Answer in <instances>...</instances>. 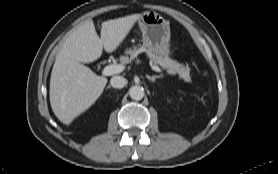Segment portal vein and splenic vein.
<instances>
[{
    "label": "portal vein and splenic vein",
    "mask_w": 278,
    "mask_h": 174,
    "mask_svg": "<svg viewBox=\"0 0 278 174\" xmlns=\"http://www.w3.org/2000/svg\"><path fill=\"white\" fill-rule=\"evenodd\" d=\"M151 67L156 72H162L161 68L156 66V65H152ZM124 69H125V66L122 65V64L107 65L103 69V74L105 76H110V75H113V74L121 73Z\"/></svg>",
    "instance_id": "obj_1"
}]
</instances>
